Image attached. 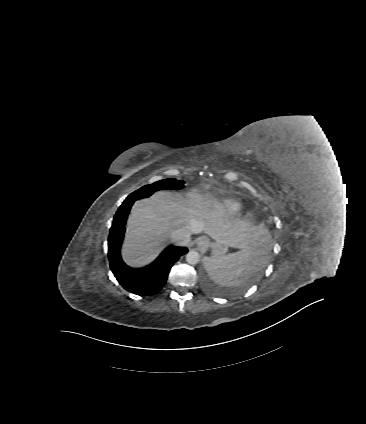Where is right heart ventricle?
<instances>
[{
  "mask_svg": "<svg viewBox=\"0 0 366 424\" xmlns=\"http://www.w3.org/2000/svg\"><path fill=\"white\" fill-rule=\"evenodd\" d=\"M216 208L220 215L230 218L238 215L243 206L235 199H223L217 203Z\"/></svg>",
  "mask_w": 366,
  "mask_h": 424,
  "instance_id": "right-heart-ventricle-1",
  "label": "right heart ventricle"
}]
</instances>
